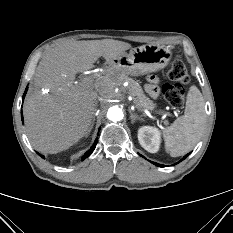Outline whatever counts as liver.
Listing matches in <instances>:
<instances>
[{"mask_svg": "<svg viewBox=\"0 0 233 233\" xmlns=\"http://www.w3.org/2000/svg\"><path fill=\"white\" fill-rule=\"evenodd\" d=\"M130 48L131 44L113 39L70 40L46 52L36 68L34 91L23 106L27 136L37 151L55 154L87 135L98 92L104 95L111 79L100 77L84 88L75 84L76 74L93 68L99 57L110 64Z\"/></svg>", "mask_w": 233, "mask_h": 233, "instance_id": "6515ba94", "label": "liver"}]
</instances>
